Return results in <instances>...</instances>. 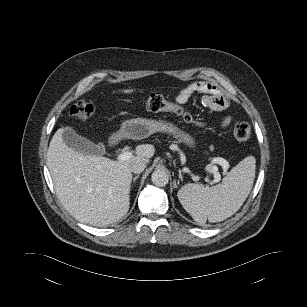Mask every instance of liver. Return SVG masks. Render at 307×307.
<instances>
[{"mask_svg":"<svg viewBox=\"0 0 307 307\" xmlns=\"http://www.w3.org/2000/svg\"><path fill=\"white\" fill-rule=\"evenodd\" d=\"M135 90H119L130 94ZM58 129L47 151L56 195L64 208L78 221L104 227L119 221L129 210L132 173L136 160L150 162L153 145H138L136 156L127 161L84 155L67 146Z\"/></svg>","mask_w":307,"mask_h":307,"instance_id":"obj_1","label":"liver"}]
</instances>
